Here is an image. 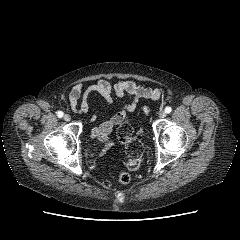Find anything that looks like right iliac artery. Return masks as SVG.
<instances>
[{
  "label": "right iliac artery",
  "instance_id": "obj_1",
  "mask_svg": "<svg viewBox=\"0 0 240 240\" xmlns=\"http://www.w3.org/2000/svg\"><path fill=\"white\" fill-rule=\"evenodd\" d=\"M63 115H64V113H63L62 111H58V112H57V116H58L59 118H62Z\"/></svg>",
  "mask_w": 240,
  "mask_h": 240
}]
</instances>
